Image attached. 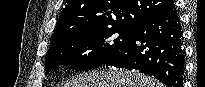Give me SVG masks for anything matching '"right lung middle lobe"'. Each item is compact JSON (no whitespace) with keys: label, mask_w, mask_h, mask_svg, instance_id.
<instances>
[{"label":"right lung middle lobe","mask_w":205,"mask_h":87,"mask_svg":"<svg viewBox=\"0 0 205 87\" xmlns=\"http://www.w3.org/2000/svg\"><path fill=\"white\" fill-rule=\"evenodd\" d=\"M134 29L106 28L81 32L50 44L45 57L46 74L59 66L88 70L105 64L131 38Z\"/></svg>","instance_id":"1"}]
</instances>
